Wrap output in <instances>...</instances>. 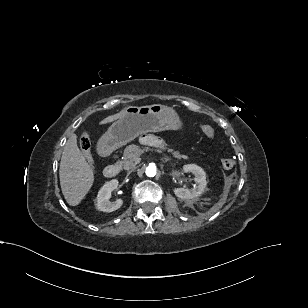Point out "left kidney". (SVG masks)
<instances>
[{
    "label": "left kidney",
    "instance_id": "obj_1",
    "mask_svg": "<svg viewBox=\"0 0 308 308\" xmlns=\"http://www.w3.org/2000/svg\"><path fill=\"white\" fill-rule=\"evenodd\" d=\"M183 171L192 172L195 176L194 180L196 184L192 189L175 188L173 190L174 194L182 200L194 199L201 196L207 186L204 170L195 164H186L183 166Z\"/></svg>",
    "mask_w": 308,
    "mask_h": 308
}]
</instances>
